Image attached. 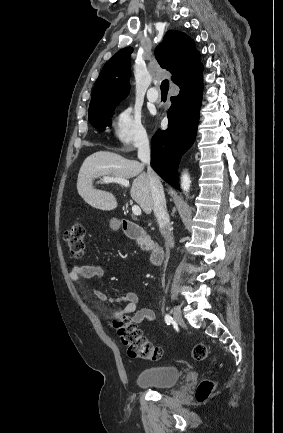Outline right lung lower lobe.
Returning a JSON list of instances; mask_svg holds the SVG:
<instances>
[{"label":"right lung lower lobe","mask_w":283,"mask_h":433,"mask_svg":"<svg viewBox=\"0 0 283 433\" xmlns=\"http://www.w3.org/2000/svg\"><path fill=\"white\" fill-rule=\"evenodd\" d=\"M203 76L180 87L178 96L171 97L167 111L169 125L158 130L151 143V166L167 183L179 189L177 167L181 156L193 144L199 121Z\"/></svg>","instance_id":"98d812e1"}]
</instances>
